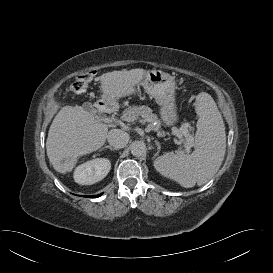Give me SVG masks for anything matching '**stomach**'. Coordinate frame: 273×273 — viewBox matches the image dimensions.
Here are the masks:
<instances>
[{
	"instance_id": "stomach-1",
	"label": "stomach",
	"mask_w": 273,
	"mask_h": 273,
	"mask_svg": "<svg viewBox=\"0 0 273 273\" xmlns=\"http://www.w3.org/2000/svg\"><path fill=\"white\" fill-rule=\"evenodd\" d=\"M138 85H141L145 92L158 102L164 124L174 125L178 119L175 104V78L161 70H151L147 71Z\"/></svg>"
}]
</instances>
